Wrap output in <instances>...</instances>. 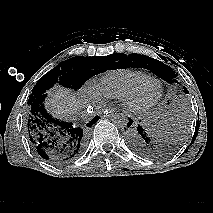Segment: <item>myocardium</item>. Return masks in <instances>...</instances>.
<instances>
[{
  "label": "myocardium",
  "mask_w": 213,
  "mask_h": 213,
  "mask_svg": "<svg viewBox=\"0 0 213 213\" xmlns=\"http://www.w3.org/2000/svg\"><path fill=\"white\" fill-rule=\"evenodd\" d=\"M156 87L155 95H148L150 87ZM163 88L158 79L150 78L138 85L123 99L124 107L130 112H143L155 106L162 98Z\"/></svg>",
  "instance_id": "f54148a6"
}]
</instances>
